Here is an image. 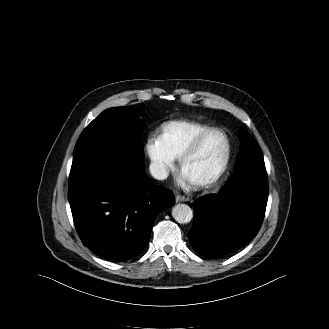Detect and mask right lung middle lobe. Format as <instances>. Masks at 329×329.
<instances>
[{"instance_id":"obj_1","label":"right lung middle lobe","mask_w":329,"mask_h":329,"mask_svg":"<svg viewBox=\"0 0 329 329\" xmlns=\"http://www.w3.org/2000/svg\"><path fill=\"white\" fill-rule=\"evenodd\" d=\"M124 107L106 109L81 133L74 148L70 175L96 163H110L129 171L143 170L144 122Z\"/></svg>"}]
</instances>
